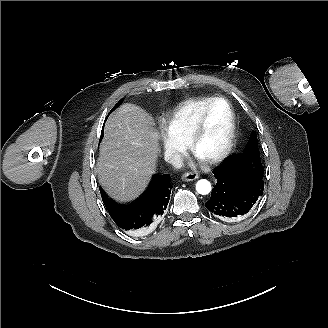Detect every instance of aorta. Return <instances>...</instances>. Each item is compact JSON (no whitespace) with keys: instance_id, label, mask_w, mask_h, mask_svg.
I'll list each match as a JSON object with an SVG mask.
<instances>
[{"instance_id":"aorta-1","label":"aorta","mask_w":328,"mask_h":328,"mask_svg":"<svg viewBox=\"0 0 328 328\" xmlns=\"http://www.w3.org/2000/svg\"><path fill=\"white\" fill-rule=\"evenodd\" d=\"M211 183L206 179L198 180L196 183V191L201 195H207L211 192Z\"/></svg>"}]
</instances>
